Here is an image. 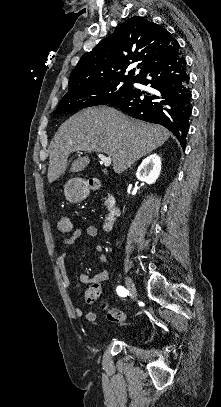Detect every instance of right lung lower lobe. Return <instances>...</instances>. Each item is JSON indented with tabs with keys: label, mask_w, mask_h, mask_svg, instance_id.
<instances>
[{
	"label": "right lung lower lobe",
	"mask_w": 221,
	"mask_h": 407,
	"mask_svg": "<svg viewBox=\"0 0 221 407\" xmlns=\"http://www.w3.org/2000/svg\"><path fill=\"white\" fill-rule=\"evenodd\" d=\"M134 82L149 86L151 90L132 88L108 105L120 108L136 119L163 125L184 149L192 109L189 76L179 44L169 56L150 66Z\"/></svg>",
	"instance_id": "obj_1"
}]
</instances>
